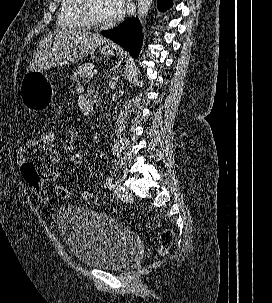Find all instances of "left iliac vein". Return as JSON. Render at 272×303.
<instances>
[{"instance_id":"left-iliac-vein-1","label":"left iliac vein","mask_w":272,"mask_h":303,"mask_svg":"<svg viewBox=\"0 0 272 303\" xmlns=\"http://www.w3.org/2000/svg\"><path fill=\"white\" fill-rule=\"evenodd\" d=\"M114 191L116 195L123 200H127L130 197L129 191L124 186H122L118 181L114 183Z\"/></svg>"}]
</instances>
